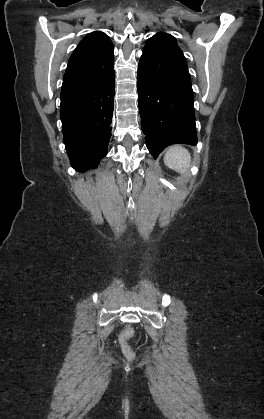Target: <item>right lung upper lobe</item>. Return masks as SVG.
I'll return each mask as SVG.
<instances>
[{"label": "right lung upper lobe", "instance_id": "right-lung-upper-lobe-1", "mask_svg": "<svg viewBox=\"0 0 264 419\" xmlns=\"http://www.w3.org/2000/svg\"><path fill=\"white\" fill-rule=\"evenodd\" d=\"M113 44L103 32L86 36L71 55L62 90L96 84L114 72Z\"/></svg>", "mask_w": 264, "mask_h": 419}]
</instances>
